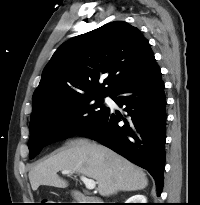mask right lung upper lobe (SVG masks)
<instances>
[{
	"label": "right lung upper lobe",
	"instance_id": "cb5924a9",
	"mask_svg": "<svg viewBox=\"0 0 200 205\" xmlns=\"http://www.w3.org/2000/svg\"><path fill=\"white\" fill-rule=\"evenodd\" d=\"M155 61L148 40L123 21L107 23L63 43L43 70L31 118L66 99L112 95ZM103 77L104 82L99 83Z\"/></svg>",
	"mask_w": 200,
	"mask_h": 205
}]
</instances>
